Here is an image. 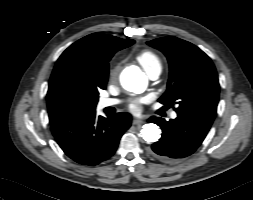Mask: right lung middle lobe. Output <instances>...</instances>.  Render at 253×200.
<instances>
[{
    "label": "right lung middle lobe",
    "instance_id": "right-lung-middle-lobe-1",
    "mask_svg": "<svg viewBox=\"0 0 253 200\" xmlns=\"http://www.w3.org/2000/svg\"><path fill=\"white\" fill-rule=\"evenodd\" d=\"M72 95L81 100H88L94 105H96L98 101V91L88 86H74Z\"/></svg>",
    "mask_w": 253,
    "mask_h": 200
}]
</instances>
